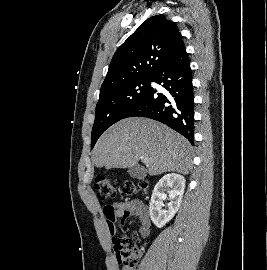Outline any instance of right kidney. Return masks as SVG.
Instances as JSON below:
<instances>
[{
	"instance_id": "right-kidney-1",
	"label": "right kidney",
	"mask_w": 267,
	"mask_h": 270,
	"mask_svg": "<svg viewBox=\"0 0 267 270\" xmlns=\"http://www.w3.org/2000/svg\"><path fill=\"white\" fill-rule=\"evenodd\" d=\"M184 189L185 178L176 173L166 174L157 182L149 206L150 218L156 227L162 228L174 217L181 205ZM165 192L170 200L168 210H162Z\"/></svg>"
}]
</instances>
